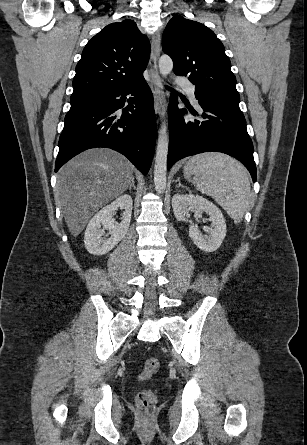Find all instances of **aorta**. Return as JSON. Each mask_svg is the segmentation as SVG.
<instances>
[{
    "instance_id": "1",
    "label": "aorta",
    "mask_w": 307,
    "mask_h": 445,
    "mask_svg": "<svg viewBox=\"0 0 307 445\" xmlns=\"http://www.w3.org/2000/svg\"><path fill=\"white\" fill-rule=\"evenodd\" d=\"M173 68V60L168 54H162L159 58V70L162 76H167ZM164 114V112H162ZM168 154V134L166 122H162L159 130L155 164H154V184L157 192H164L166 188V170Z\"/></svg>"
}]
</instances>
